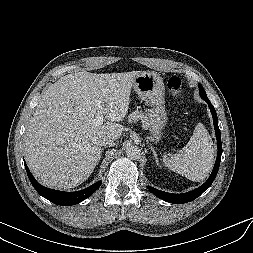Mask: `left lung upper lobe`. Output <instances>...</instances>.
I'll return each instance as SVG.
<instances>
[{"instance_id":"left-lung-upper-lobe-1","label":"left lung upper lobe","mask_w":253,"mask_h":253,"mask_svg":"<svg viewBox=\"0 0 253 253\" xmlns=\"http://www.w3.org/2000/svg\"><path fill=\"white\" fill-rule=\"evenodd\" d=\"M199 93H200V96L203 100L208 99V97H207V95H206V93H205V91H204V89L201 85H199Z\"/></svg>"}]
</instances>
